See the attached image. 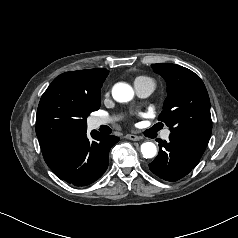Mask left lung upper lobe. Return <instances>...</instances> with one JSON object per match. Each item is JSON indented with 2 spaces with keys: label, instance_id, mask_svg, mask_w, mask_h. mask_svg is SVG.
<instances>
[{
  "label": "left lung upper lobe",
  "instance_id": "5c2ea615",
  "mask_svg": "<svg viewBox=\"0 0 238 238\" xmlns=\"http://www.w3.org/2000/svg\"><path fill=\"white\" fill-rule=\"evenodd\" d=\"M167 83L168 96L158 120L171 132L209 141L212 132L210 100L203 81L191 70L176 64H153Z\"/></svg>",
  "mask_w": 238,
  "mask_h": 238
}]
</instances>
